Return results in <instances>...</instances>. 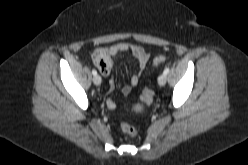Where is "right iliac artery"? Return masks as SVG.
I'll return each mask as SVG.
<instances>
[{
  "mask_svg": "<svg viewBox=\"0 0 248 165\" xmlns=\"http://www.w3.org/2000/svg\"><path fill=\"white\" fill-rule=\"evenodd\" d=\"M92 74L95 76L97 75V71L95 69L92 70Z\"/></svg>",
  "mask_w": 248,
  "mask_h": 165,
  "instance_id": "obj_1",
  "label": "right iliac artery"
}]
</instances>
